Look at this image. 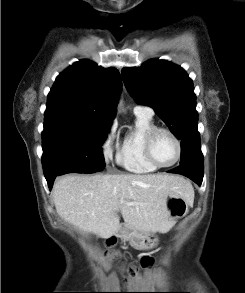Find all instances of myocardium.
Masks as SVG:
<instances>
[{"instance_id": "f54148a6", "label": "myocardium", "mask_w": 245, "mask_h": 293, "mask_svg": "<svg viewBox=\"0 0 245 293\" xmlns=\"http://www.w3.org/2000/svg\"><path fill=\"white\" fill-rule=\"evenodd\" d=\"M161 132H164V133H167L168 135H170L171 138L173 139L175 145H176V148H177L176 157L169 164H161V163H159L155 159V157L153 155V142H154V139ZM181 152H182L181 141H180L179 137L169 128L156 127L154 129H152L145 137V141H144V153H145V156H146L147 160L157 168H169V167L175 165L179 161V159L181 157Z\"/></svg>"}]
</instances>
